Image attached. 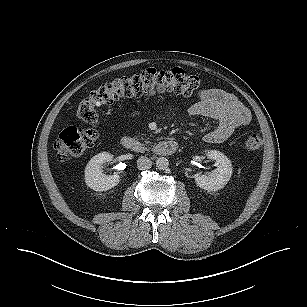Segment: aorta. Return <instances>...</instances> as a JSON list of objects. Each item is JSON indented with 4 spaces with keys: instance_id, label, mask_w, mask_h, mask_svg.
Returning <instances> with one entry per match:
<instances>
[{
    "instance_id": "762f6f07",
    "label": "aorta",
    "mask_w": 307,
    "mask_h": 307,
    "mask_svg": "<svg viewBox=\"0 0 307 307\" xmlns=\"http://www.w3.org/2000/svg\"><path fill=\"white\" fill-rule=\"evenodd\" d=\"M169 166V161L167 158L165 157H159L157 158L156 160V167L159 169V170H165L167 169Z\"/></svg>"
}]
</instances>
